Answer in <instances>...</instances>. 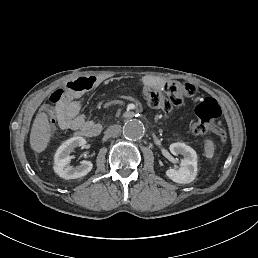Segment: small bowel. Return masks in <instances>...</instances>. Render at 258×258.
<instances>
[{
	"instance_id": "small-bowel-1",
	"label": "small bowel",
	"mask_w": 258,
	"mask_h": 258,
	"mask_svg": "<svg viewBox=\"0 0 258 258\" xmlns=\"http://www.w3.org/2000/svg\"><path fill=\"white\" fill-rule=\"evenodd\" d=\"M105 78L96 75L78 77L66 85L71 87L60 105L56 107L54 118L61 129L79 131L86 136H96L101 130V125L80 112L82 97L100 87Z\"/></svg>"
}]
</instances>
